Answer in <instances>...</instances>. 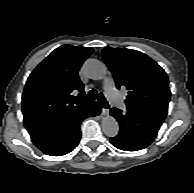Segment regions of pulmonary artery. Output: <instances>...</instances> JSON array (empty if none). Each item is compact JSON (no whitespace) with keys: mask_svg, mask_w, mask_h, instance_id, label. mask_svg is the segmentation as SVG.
I'll list each match as a JSON object with an SVG mask.
<instances>
[{"mask_svg":"<svg viewBox=\"0 0 194 193\" xmlns=\"http://www.w3.org/2000/svg\"><path fill=\"white\" fill-rule=\"evenodd\" d=\"M104 89L106 92V95L110 99V101L119 109H122L124 107V101L121 98V95L114 87V84L111 79H106L104 82Z\"/></svg>","mask_w":194,"mask_h":193,"instance_id":"e3ab8cb5","label":"pulmonary artery"}]
</instances>
